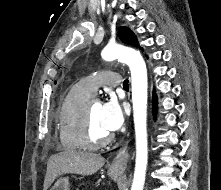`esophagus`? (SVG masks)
I'll use <instances>...</instances> for the list:
<instances>
[{"mask_svg": "<svg viewBox=\"0 0 221 190\" xmlns=\"http://www.w3.org/2000/svg\"><path fill=\"white\" fill-rule=\"evenodd\" d=\"M127 161V144H124L113 158L110 167L115 171L123 172L126 169Z\"/></svg>", "mask_w": 221, "mask_h": 190, "instance_id": "1", "label": "esophagus"}]
</instances>
